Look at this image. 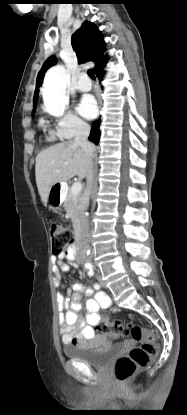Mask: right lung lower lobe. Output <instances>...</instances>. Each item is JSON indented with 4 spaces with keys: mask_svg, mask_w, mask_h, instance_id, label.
<instances>
[{
    "mask_svg": "<svg viewBox=\"0 0 187 415\" xmlns=\"http://www.w3.org/2000/svg\"><path fill=\"white\" fill-rule=\"evenodd\" d=\"M106 63V62H105ZM105 66V64L95 73L96 76L98 77L99 81L102 80L105 72L102 70V68ZM99 124H100V120H97L93 123L92 125V129H91V134L89 136V140L94 142L95 144H98L99 142V137H100V131H99Z\"/></svg>",
    "mask_w": 187,
    "mask_h": 415,
    "instance_id": "1",
    "label": "right lung lower lobe"
}]
</instances>
